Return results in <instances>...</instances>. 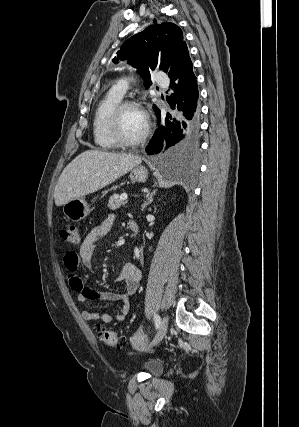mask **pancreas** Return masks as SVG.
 <instances>
[{
    "instance_id": "obj_1",
    "label": "pancreas",
    "mask_w": 299,
    "mask_h": 427,
    "mask_svg": "<svg viewBox=\"0 0 299 427\" xmlns=\"http://www.w3.org/2000/svg\"><path fill=\"white\" fill-rule=\"evenodd\" d=\"M125 204H126L125 200H121L119 195L114 194L109 199L108 208H110L111 210H116Z\"/></svg>"
}]
</instances>
